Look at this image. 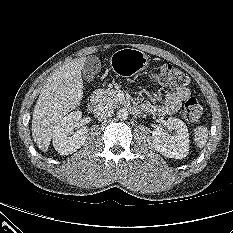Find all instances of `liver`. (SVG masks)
<instances>
[{"mask_svg": "<svg viewBox=\"0 0 233 233\" xmlns=\"http://www.w3.org/2000/svg\"><path fill=\"white\" fill-rule=\"evenodd\" d=\"M86 58H76L56 70L44 84L33 110L32 136L43 152L49 148L58 122L78 107L83 97L81 72Z\"/></svg>", "mask_w": 233, "mask_h": 233, "instance_id": "6515ba94", "label": "liver"}]
</instances>
